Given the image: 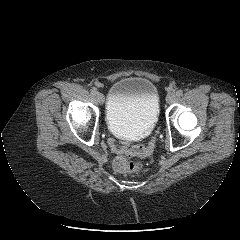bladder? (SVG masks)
I'll list each match as a JSON object with an SVG mask.
<instances>
[{
  "label": "bladder",
  "mask_w": 240,
  "mask_h": 240,
  "mask_svg": "<svg viewBox=\"0 0 240 240\" xmlns=\"http://www.w3.org/2000/svg\"><path fill=\"white\" fill-rule=\"evenodd\" d=\"M159 112L158 90L151 80L138 76L124 77L110 87L106 123L114 134L144 136L155 127Z\"/></svg>",
  "instance_id": "31cf9c89"
}]
</instances>
